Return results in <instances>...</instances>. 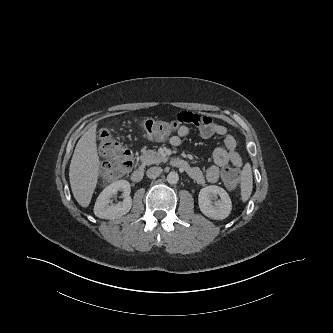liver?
I'll use <instances>...</instances> for the list:
<instances>
[{
    "label": "liver",
    "instance_id": "1",
    "mask_svg": "<svg viewBox=\"0 0 333 333\" xmlns=\"http://www.w3.org/2000/svg\"><path fill=\"white\" fill-rule=\"evenodd\" d=\"M97 124L79 139L69 167L72 193L82 207H88L96 188L100 160L96 144Z\"/></svg>",
    "mask_w": 333,
    "mask_h": 333
}]
</instances>
